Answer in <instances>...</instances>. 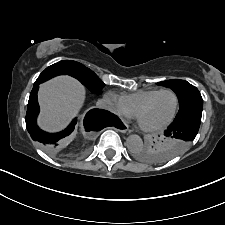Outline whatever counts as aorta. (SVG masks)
I'll use <instances>...</instances> for the list:
<instances>
[{
    "mask_svg": "<svg viewBox=\"0 0 225 225\" xmlns=\"http://www.w3.org/2000/svg\"><path fill=\"white\" fill-rule=\"evenodd\" d=\"M127 148L133 152H139L143 148V141L138 135H131L127 138Z\"/></svg>",
    "mask_w": 225,
    "mask_h": 225,
    "instance_id": "obj_1",
    "label": "aorta"
}]
</instances>
